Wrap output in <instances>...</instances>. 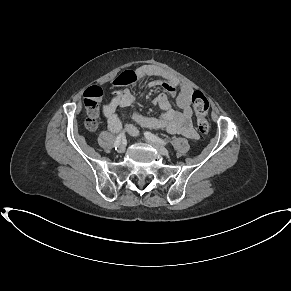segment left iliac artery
<instances>
[{"mask_svg":"<svg viewBox=\"0 0 291 291\" xmlns=\"http://www.w3.org/2000/svg\"><path fill=\"white\" fill-rule=\"evenodd\" d=\"M144 135H145L146 138L150 139L153 142H157V143L162 144V145H167L168 144V142L166 140L158 137L157 135H154L151 132L147 131V132L144 133Z\"/></svg>","mask_w":291,"mask_h":291,"instance_id":"1","label":"left iliac artery"}]
</instances>
